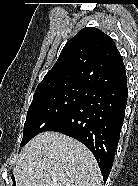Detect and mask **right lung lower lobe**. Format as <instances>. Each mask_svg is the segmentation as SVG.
Listing matches in <instances>:
<instances>
[{
    "mask_svg": "<svg viewBox=\"0 0 138 186\" xmlns=\"http://www.w3.org/2000/svg\"><path fill=\"white\" fill-rule=\"evenodd\" d=\"M127 97V82L93 88L80 105L46 130L60 132L86 145L98 162L104 182L114 161Z\"/></svg>",
    "mask_w": 138,
    "mask_h": 186,
    "instance_id": "1",
    "label": "right lung lower lobe"
}]
</instances>
